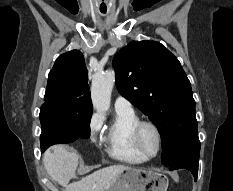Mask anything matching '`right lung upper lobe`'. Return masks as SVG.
<instances>
[{"label":"right lung upper lobe","mask_w":233,"mask_h":191,"mask_svg":"<svg viewBox=\"0 0 233 191\" xmlns=\"http://www.w3.org/2000/svg\"><path fill=\"white\" fill-rule=\"evenodd\" d=\"M87 68L79 50L58 57L49 73L44 104L76 110H92ZM43 104V105H44Z\"/></svg>","instance_id":"1"}]
</instances>
